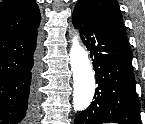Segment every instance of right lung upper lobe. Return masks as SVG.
I'll list each match as a JSON object with an SVG mask.
<instances>
[{
  "label": "right lung upper lobe",
  "mask_w": 145,
  "mask_h": 124,
  "mask_svg": "<svg viewBox=\"0 0 145 124\" xmlns=\"http://www.w3.org/2000/svg\"><path fill=\"white\" fill-rule=\"evenodd\" d=\"M40 21L35 0H3L0 3V37L29 33L39 27Z\"/></svg>",
  "instance_id": "cb5924a9"
}]
</instances>
